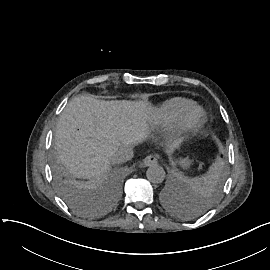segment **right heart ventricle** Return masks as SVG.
Listing matches in <instances>:
<instances>
[{"instance_id": "e07e8e85", "label": "right heart ventricle", "mask_w": 270, "mask_h": 270, "mask_svg": "<svg viewBox=\"0 0 270 270\" xmlns=\"http://www.w3.org/2000/svg\"><path fill=\"white\" fill-rule=\"evenodd\" d=\"M194 105L195 102L192 100L173 97L156 109L154 115L156 124L161 128L177 124Z\"/></svg>"}]
</instances>
